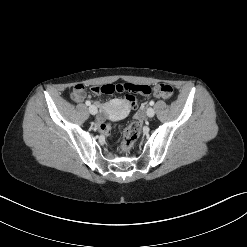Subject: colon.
<instances>
[{"label":"colon","instance_id":"5ec220e1","mask_svg":"<svg viewBox=\"0 0 247 247\" xmlns=\"http://www.w3.org/2000/svg\"><path fill=\"white\" fill-rule=\"evenodd\" d=\"M91 90L97 94H112L115 92H126L127 97L125 98L124 104L126 108H130L136 111L139 108V101L133 93L138 92L142 96H151L153 94L156 98L168 100L173 95V88L166 84L160 83L153 86H147L146 84H130V83H118V84H105L99 86H93ZM73 95L82 96L86 94V87L82 84H78L73 88ZM141 115L139 114L137 120L132 122L123 132L120 139V146L124 151H129L134 146L136 140L141 133ZM100 129L104 133L111 131V126L104 123L100 126Z\"/></svg>","mask_w":247,"mask_h":247}]
</instances>
